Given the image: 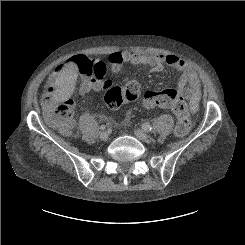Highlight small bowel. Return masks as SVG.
I'll return each instance as SVG.
<instances>
[{"label": "small bowel", "mask_w": 245, "mask_h": 245, "mask_svg": "<svg viewBox=\"0 0 245 245\" xmlns=\"http://www.w3.org/2000/svg\"><path fill=\"white\" fill-rule=\"evenodd\" d=\"M108 61L113 73H119L125 65L131 66H150L154 71L160 72L164 66H168L179 73L178 92L188 101L192 113L199 109L202 92L196 72L186 64L181 58L173 54H139L129 50L115 51L108 55ZM76 68L73 62L69 60L59 64L52 75V78H58L65 75H75ZM111 86V81L107 78L97 80L89 78L79 87V94L84 95L89 92H102ZM104 120V117H100Z\"/></svg>", "instance_id": "1"}]
</instances>
